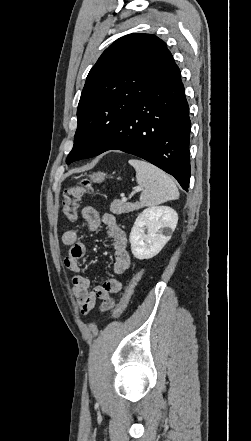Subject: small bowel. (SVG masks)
<instances>
[{"label": "small bowel", "mask_w": 251, "mask_h": 441, "mask_svg": "<svg viewBox=\"0 0 251 441\" xmlns=\"http://www.w3.org/2000/svg\"><path fill=\"white\" fill-rule=\"evenodd\" d=\"M81 214L90 232L96 231L100 225L106 227L114 249L113 271L116 275L125 273L131 263L128 240L115 216L111 213L100 215L92 206L84 207ZM62 243L70 248L64 264L67 269L75 273L72 278L73 293L82 314H88L95 307L97 300L102 301L103 311L111 309L114 306L112 295L122 289L120 279L112 277L91 288L90 279L82 274L81 259L86 254V246L79 240L78 232L76 230L65 231L62 235Z\"/></svg>", "instance_id": "obj_1"}]
</instances>
